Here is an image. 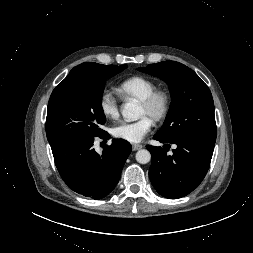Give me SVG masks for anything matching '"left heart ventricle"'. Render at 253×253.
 Here are the masks:
<instances>
[{
	"instance_id": "obj_1",
	"label": "left heart ventricle",
	"mask_w": 253,
	"mask_h": 253,
	"mask_svg": "<svg viewBox=\"0 0 253 253\" xmlns=\"http://www.w3.org/2000/svg\"><path fill=\"white\" fill-rule=\"evenodd\" d=\"M138 115L139 116H148L151 118L152 116V110L147 109L145 106L142 104L139 105V110H138Z\"/></svg>"
}]
</instances>
